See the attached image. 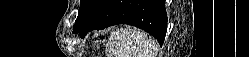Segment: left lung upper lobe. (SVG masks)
Segmentation results:
<instances>
[{
    "mask_svg": "<svg viewBox=\"0 0 249 57\" xmlns=\"http://www.w3.org/2000/svg\"><path fill=\"white\" fill-rule=\"evenodd\" d=\"M107 0H81L78 17L75 21L74 30L88 21Z\"/></svg>",
    "mask_w": 249,
    "mask_h": 57,
    "instance_id": "5c2ea615",
    "label": "left lung upper lobe"
}]
</instances>
